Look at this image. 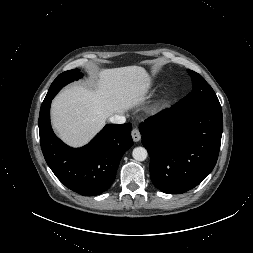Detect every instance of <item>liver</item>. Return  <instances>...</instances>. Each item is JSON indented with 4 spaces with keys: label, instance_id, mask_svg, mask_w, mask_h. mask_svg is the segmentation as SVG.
<instances>
[{
    "label": "liver",
    "instance_id": "6515ba94",
    "mask_svg": "<svg viewBox=\"0 0 253 253\" xmlns=\"http://www.w3.org/2000/svg\"><path fill=\"white\" fill-rule=\"evenodd\" d=\"M149 87L150 77L140 66L101 70L92 86L72 85L53 99L52 126L68 145L83 146L109 117L142 102Z\"/></svg>",
    "mask_w": 253,
    "mask_h": 253
}]
</instances>
